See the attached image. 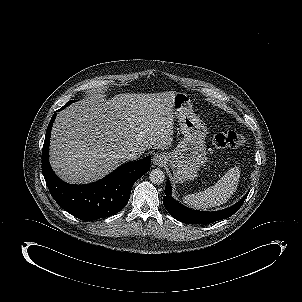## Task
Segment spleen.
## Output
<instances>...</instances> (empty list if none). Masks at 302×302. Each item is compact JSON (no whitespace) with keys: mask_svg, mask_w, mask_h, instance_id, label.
Here are the masks:
<instances>
[{"mask_svg":"<svg viewBox=\"0 0 302 302\" xmlns=\"http://www.w3.org/2000/svg\"><path fill=\"white\" fill-rule=\"evenodd\" d=\"M240 178L238 167L229 169L214 186L196 194H188L183 197V202L188 206L207 210L226 203L236 191Z\"/></svg>","mask_w":302,"mask_h":302,"instance_id":"3e777b00","label":"spleen"}]
</instances>
